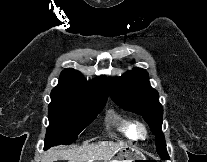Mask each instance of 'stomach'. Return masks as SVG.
Here are the masks:
<instances>
[{
    "label": "stomach",
    "mask_w": 207,
    "mask_h": 162,
    "mask_svg": "<svg viewBox=\"0 0 207 162\" xmlns=\"http://www.w3.org/2000/svg\"><path fill=\"white\" fill-rule=\"evenodd\" d=\"M146 160L144 155L128 146L119 149L110 160L104 162H144Z\"/></svg>",
    "instance_id": "1"
}]
</instances>
